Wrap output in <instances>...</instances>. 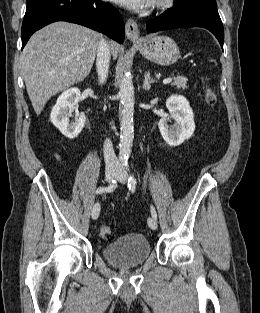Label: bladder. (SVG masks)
Segmentation results:
<instances>
[{
	"label": "bladder",
	"instance_id": "1",
	"mask_svg": "<svg viewBox=\"0 0 260 313\" xmlns=\"http://www.w3.org/2000/svg\"><path fill=\"white\" fill-rule=\"evenodd\" d=\"M150 254V243L140 233L120 237L103 248L105 260L117 267L141 265Z\"/></svg>",
	"mask_w": 260,
	"mask_h": 313
}]
</instances>
